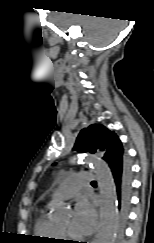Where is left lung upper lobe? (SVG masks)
Masks as SVG:
<instances>
[{"instance_id": "obj_1", "label": "left lung upper lobe", "mask_w": 154, "mask_h": 243, "mask_svg": "<svg viewBox=\"0 0 154 243\" xmlns=\"http://www.w3.org/2000/svg\"><path fill=\"white\" fill-rule=\"evenodd\" d=\"M73 150L80 153H96L102 152L103 159H113L117 156L124 158V149L121 141L115 132H111L108 128L100 124H92L84 128L79 133Z\"/></svg>"}]
</instances>
